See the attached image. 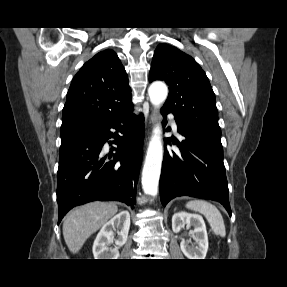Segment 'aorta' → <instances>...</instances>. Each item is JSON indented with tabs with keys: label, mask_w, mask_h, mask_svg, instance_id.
<instances>
[{
	"label": "aorta",
	"mask_w": 287,
	"mask_h": 287,
	"mask_svg": "<svg viewBox=\"0 0 287 287\" xmlns=\"http://www.w3.org/2000/svg\"><path fill=\"white\" fill-rule=\"evenodd\" d=\"M151 103L159 107L167 98L168 89L162 82H154L148 89ZM162 129L157 125L149 142L147 154L142 171V188L145 194L156 196L163 159V146L161 139Z\"/></svg>",
	"instance_id": "1"
}]
</instances>
